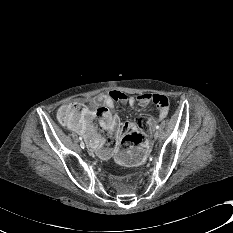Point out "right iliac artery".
Returning a JSON list of instances; mask_svg holds the SVG:
<instances>
[{
	"mask_svg": "<svg viewBox=\"0 0 233 233\" xmlns=\"http://www.w3.org/2000/svg\"><path fill=\"white\" fill-rule=\"evenodd\" d=\"M79 139L82 140V137H79ZM80 146H81V148H84V147H85L84 144H83V145L80 144Z\"/></svg>",
	"mask_w": 233,
	"mask_h": 233,
	"instance_id": "82829eb1",
	"label": "right iliac artery"
}]
</instances>
